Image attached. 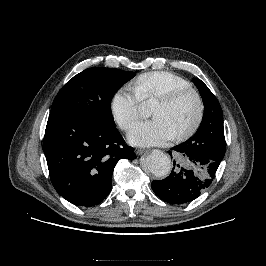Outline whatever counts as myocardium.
<instances>
[{
	"instance_id": "1",
	"label": "myocardium",
	"mask_w": 266,
	"mask_h": 266,
	"mask_svg": "<svg viewBox=\"0 0 266 266\" xmlns=\"http://www.w3.org/2000/svg\"><path fill=\"white\" fill-rule=\"evenodd\" d=\"M191 96L195 99L196 105H197V112L195 119L191 126L186 129L183 132H180L176 134V138L178 140H184L196 133V131L199 129L203 118H204V113H205V105L202 96L198 91L192 88H185V89H179L172 91L160 98H158L155 102L160 103L163 105H174L175 103L179 102L185 97Z\"/></svg>"
}]
</instances>
